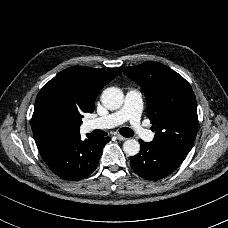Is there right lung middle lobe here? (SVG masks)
I'll return each instance as SVG.
<instances>
[{"instance_id": "dd1d6c3e", "label": "right lung middle lobe", "mask_w": 228, "mask_h": 228, "mask_svg": "<svg viewBox=\"0 0 228 228\" xmlns=\"http://www.w3.org/2000/svg\"><path fill=\"white\" fill-rule=\"evenodd\" d=\"M82 114L60 90L41 89L31 120L34 137L57 139L79 130Z\"/></svg>"}]
</instances>
